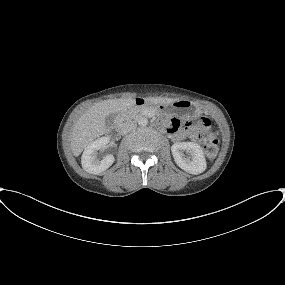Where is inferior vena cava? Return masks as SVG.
Wrapping results in <instances>:
<instances>
[{
  "label": "inferior vena cava",
  "mask_w": 285,
  "mask_h": 285,
  "mask_svg": "<svg viewBox=\"0 0 285 285\" xmlns=\"http://www.w3.org/2000/svg\"><path fill=\"white\" fill-rule=\"evenodd\" d=\"M136 128V123L130 121L126 122L121 127V134L125 135Z\"/></svg>",
  "instance_id": "1"
}]
</instances>
